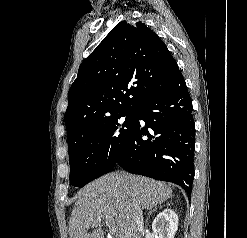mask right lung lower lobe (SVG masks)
Segmentation results:
<instances>
[{
	"mask_svg": "<svg viewBox=\"0 0 247 238\" xmlns=\"http://www.w3.org/2000/svg\"><path fill=\"white\" fill-rule=\"evenodd\" d=\"M192 110L179 70L163 90L136 110L135 126L116 165L130 173L173 182L190 195L195 146ZM139 120L145 122L144 127Z\"/></svg>",
	"mask_w": 247,
	"mask_h": 238,
	"instance_id": "right-lung-lower-lobe-1",
	"label": "right lung lower lobe"
}]
</instances>
